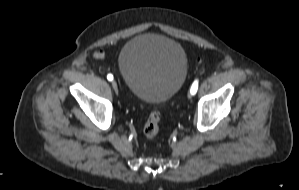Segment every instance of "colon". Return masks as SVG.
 <instances>
[{
    "instance_id": "5ec220e1",
    "label": "colon",
    "mask_w": 299,
    "mask_h": 190,
    "mask_svg": "<svg viewBox=\"0 0 299 190\" xmlns=\"http://www.w3.org/2000/svg\"><path fill=\"white\" fill-rule=\"evenodd\" d=\"M161 119V112L158 109L153 110L145 125H144V135L147 139H154L157 137L158 133H159V122Z\"/></svg>"
}]
</instances>
